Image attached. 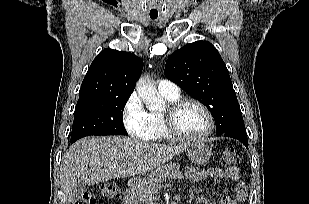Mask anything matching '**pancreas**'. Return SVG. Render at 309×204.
<instances>
[{
  "mask_svg": "<svg viewBox=\"0 0 309 204\" xmlns=\"http://www.w3.org/2000/svg\"><path fill=\"white\" fill-rule=\"evenodd\" d=\"M183 175L179 171V166L162 165L144 177L133 191L134 199L137 202L148 204L155 198V193L166 179H182Z\"/></svg>",
  "mask_w": 309,
  "mask_h": 204,
  "instance_id": "pancreas-1",
  "label": "pancreas"
}]
</instances>
